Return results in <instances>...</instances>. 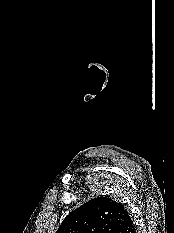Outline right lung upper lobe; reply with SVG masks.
<instances>
[{
    "label": "right lung upper lobe",
    "instance_id": "right-lung-upper-lobe-1",
    "mask_svg": "<svg viewBox=\"0 0 174 233\" xmlns=\"http://www.w3.org/2000/svg\"><path fill=\"white\" fill-rule=\"evenodd\" d=\"M56 233H136L125 207L99 196L70 212Z\"/></svg>",
    "mask_w": 174,
    "mask_h": 233
}]
</instances>
